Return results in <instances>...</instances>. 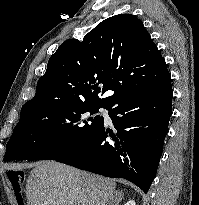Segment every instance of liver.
<instances>
[{
    "instance_id": "obj_1",
    "label": "liver",
    "mask_w": 199,
    "mask_h": 205,
    "mask_svg": "<svg viewBox=\"0 0 199 205\" xmlns=\"http://www.w3.org/2000/svg\"><path fill=\"white\" fill-rule=\"evenodd\" d=\"M116 183L55 161L35 164L27 180L28 205H118Z\"/></svg>"
}]
</instances>
